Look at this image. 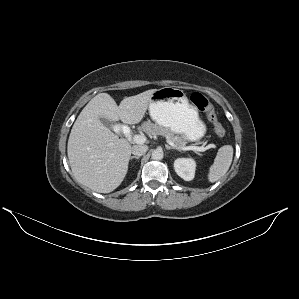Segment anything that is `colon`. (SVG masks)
Here are the masks:
<instances>
[{
  "mask_svg": "<svg viewBox=\"0 0 299 299\" xmlns=\"http://www.w3.org/2000/svg\"><path fill=\"white\" fill-rule=\"evenodd\" d=\"M191 102L197 109H199L207 115L209 121L213 124L215 132L218 136L223 137L226 135V128L219 121L213 105L203 94L198 92L193 93L191 95Z\"/></svg>",
  "mask_w": 299,
  "mask_h": 299,
  "instance_id": "5ec220e1",
  "label": "colon"
}]
</instances>
